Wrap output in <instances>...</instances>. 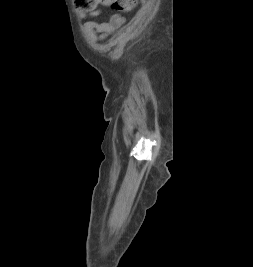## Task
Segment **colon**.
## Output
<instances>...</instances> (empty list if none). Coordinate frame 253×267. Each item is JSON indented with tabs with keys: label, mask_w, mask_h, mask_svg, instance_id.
Masks as SVG:
<instances>
[{
	"label": "colon",
	"mask_w": 253,
	"mask_h": 267,
	"mask_svg": "<svg viewBox=\"0 0 253 267\" xmlns=\"http://www.w3.org/2000/svg\"><path fill=\"white\" fill-rule=\"evenodd\" d=\"M74 5L81 11H92L103 6L115 11H127L134 7V0H74Z\"/></svg>",
	"instance_id": "5ec220e1"
}]
</instances>
